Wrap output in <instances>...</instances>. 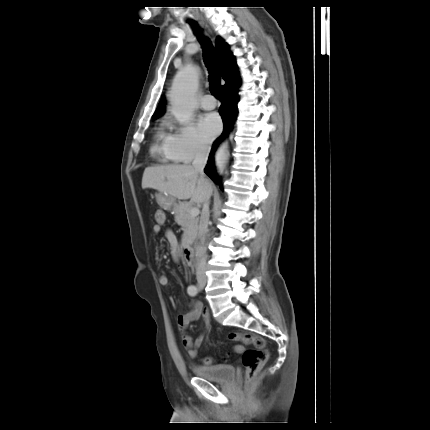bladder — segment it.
I'll use <instances>...</instances> for the list:
<instances>
[{"instance_id":"31cf9c89","label":"bladder","mask_w":430,"mask_h":430,"mask_svg":"<svg viewBox=\"0 0 430 430\" xmlns=\"http://www.w3.org/2000/svg\"><path fill=\"white\" fill-rule=\"evenodd\" d=\"M196 376L216 383H229L235 377V367L230 364H203L193 367Z\"/></svg>"}]
</instances>
